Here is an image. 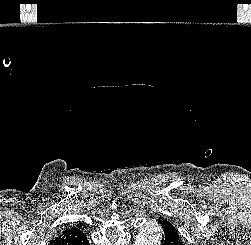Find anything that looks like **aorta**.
Returning <instances> with one entry per match:
<instances>
[{
  "instance_id": "1",
  "label": "aorta",
  "mask_w": 251,
  "mask_h": 245,
  "mask_svg": "<svg viewBox=\"0 0 251 245\" xmlns=\"http://www.w3.org/2000/svg\"><path fill=\"white\" fill-rule=\"evenodd\" d=\"M160 226L153 220L147 221L140 229L134 245H159Z\"/></svg>"
}]
</instances>
